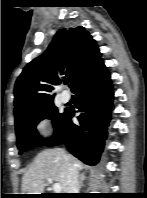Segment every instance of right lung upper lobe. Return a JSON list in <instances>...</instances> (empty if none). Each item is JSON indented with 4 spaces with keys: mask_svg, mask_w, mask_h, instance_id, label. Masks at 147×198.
I'll list each match as a JSON object with an SVG mask.
<instances>
[{
    "mask_svg": "<svg viewBox=\"0 0 147 198\" xmlns=\"http://www.w3.org/2000/svg\"><path fill=\"white\" fill-rule=\"evenodd\" d=\"M100 56L95 40L82 26L59 30L44 54L32 60L16 81L15 123L53 103L51 93L60 84L59 74L66 73L74 91L103 62Z\"/></svg>",
    "mask_w": 147,
    "mask_h": 198,
    "instance_id": "right-lung-upper-lobe-1",
    "label": "right lung upper lobe"
}]
</instances>
